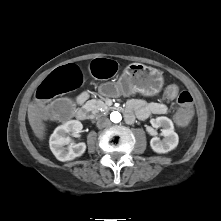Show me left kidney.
Returning <instances> with one entry per match:
<instances>
[{
    "instance_id": "left-kidney-1",
    "label": "left kidney",
    "mask_w": 221,
    "mask_h": 221,
    "mask_svg": "<svg viewBox=\"0 0 221 221\" xmlns=\"http://www.w3.org/2000/svg\"><path fill=\"white\" fill-rule=\"evenodd\" d=\"M150 123L154 128H162V140L157 136L153 137L150 141V146L152 150L156 153H168L169 151L175 149L179 142L178 134L174 131L173 122L165 117H157L151 119Z\"/></svg>"
}]
</instances>
